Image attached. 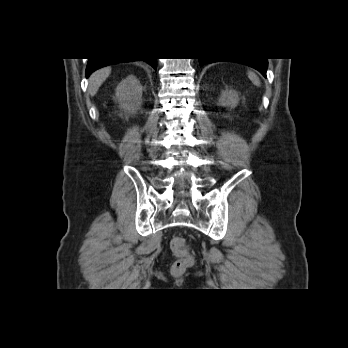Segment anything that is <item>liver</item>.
Wrapping results in <instances>:
<instances>
[{
    "mask_svg": "<svg viewBox=\"0 0 348 348\" xmlns=\"http://www.w3.org/2000/svg\"><path fill=\"white\" fill-rule=\"evenodd\" d=\"M111 73L110 67H104L94 72L89 78V92L94 96L102 83L107 79Z\"/></svg>",
    "mask_w": 348,
    "mask_h": 348,
    "instance_id": "liver-1",
    "label": "liver"
}]
</instances>
